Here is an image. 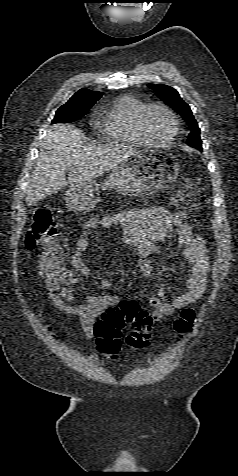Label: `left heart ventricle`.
<instances>
[{"mask_svg": "<svg viewBox=\"0 0 238 476\" xmlns=\"http://www.w3.org/2000/svg\"><path fill=\"white\" fill-rule=\"evenodd\" d=\"M146 127L149 134L157 140L169 138L174 129L172 119L160 108H153L148 112Z\"/></svg>", "mask_w": 238, "mask_h": 476, "instance_id": "left-heart-ventricle-1", "label": "left heart ventricle"}]
</instances>
